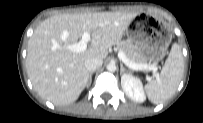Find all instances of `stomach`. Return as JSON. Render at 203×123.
Here are the masks:
<instances>
[{"label": "stomach", "instance_id": "0dacf381", "mask_svg": "<svg viewBox=\"0 0 203 123\" xmlns=\"http://www.w3.org/2000/svg\"><path fill=\"white\" fill-rule=\"evenodd\" d=\"M127 36L141 53L144 62L157 63L168 53L172 35L159 20L145 16L127 30Z\"/></svg>", "mask_w": 203, "mask_h": 123}]
</instances>
